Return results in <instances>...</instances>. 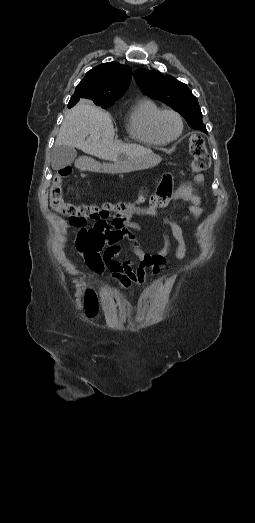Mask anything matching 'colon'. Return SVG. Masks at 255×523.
I'll use <instances>...</instances> for the list:
<instances>
[{
	"label": "colon",
	"instance_id": "obj_1",
	"mask_svg": "<svg viewBox=\"0 0 255 523\" xmlns=\"http://www.w3.org/2000/svg\"><path fill=\"white\" fill-rule=\"evenodd\" d=\"M189 152L192 155V162L190 170L193 173H200L210 167V156L207 152L204 139L194 133L188 139ZM71 169L69 167L61 168L57 171L53 178V183L50 189V205L57 213L69 217V220L77 225H84L94 222H107L112 213H115L113 219L114 225L123 223V215L133 209V205L127 202L111 203L106 202L100 206L95 204H73L65 201L64 188L62 181L69 176ZM169 190V179L164 178L159 185L157 196L163 198ZM144 196L138 198V202H144ZM122 283L127 286L130 284L126 276L121 277ZM88 315H93L96 310L94 300L90 294L87 299Z\"/></svg>",
	"mask_w": 255,
	"mask_h": 523
}]
</instances>
